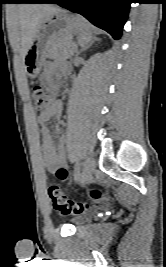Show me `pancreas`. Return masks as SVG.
<instances>
[{
	"label": "pancreas",
	"mask_w": 166,
	"mask_h": 267,
	"mask_svg": "<svg viewBox=\"0 0 166 267\" xmlns=\"http://www.w3.org/2000/svg\"><path fill=\"white\" fill-rule=\"evenodd\" d=\"M74 54L73 46L70 44L69 37H62L55 40L48 51V55L52 59L71 58Z\"/></svg>",
	"instance_id": "cf45deb5"
}]
</instances>
